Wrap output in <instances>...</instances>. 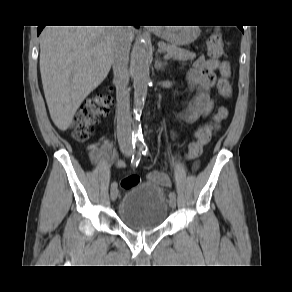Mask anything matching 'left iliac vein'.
I'll list each match as a JSON object with an SVG mask.
<instances>
[{"instance_id": "1", "label": "left iliac vein", "mask_w": 292, "mask_h": 292, "mask_svg": "<svg viewBox=\"0 0 292 292\" xmlns=\"http://www.w3.org/2000/svg\"><path fill=\"white\" fill-rule=\"evenodd\" d=\"M169 205L171 208H175L176 207V200L175 199H170L169 200Z\"/></svg>"}]
</instances>
